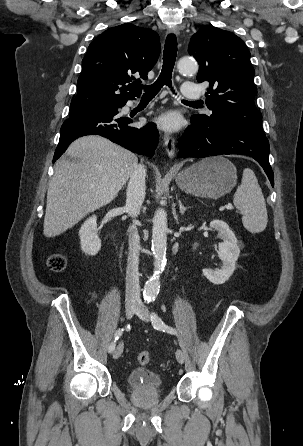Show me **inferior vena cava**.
Masks as SVG:
<instances>
[{"label":"inferior vena cava","mask_w":303,"mask_h":446,"mask_svg":"<svg viewBox=\"0 0 303 446\" xmlns=\"http://www.w3.org/2000/svg\"><path fill=\"white\" fill-rule=\"evenodd\" d=\"M145 177L146 169L143 165H137L130 175L126 191V211L129 216L136 218L140 213L142 203L145 198ZM129 252L126 269V301H140L139 285V252L141 250L140 237L135 224L129 229Z\"/></svg>","instance_id":"inferior-vena-cava-1"}]
</instances>
